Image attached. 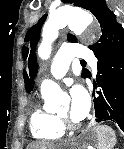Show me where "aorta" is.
Returning <instances> with one entry per match:
<instances>
[{"label":"aorta","mask_w":124,"mask_h":149,"mask_svg":"<svg viewBox=\"0 0 124 149\" xmlns=\"http://www.w3.org/2000/svg\"><path fill=\"white\" fill-rule=\"evenodd\" d=\"M92 23V15L81 9H58L54 11L49 15L43 27V40L39 48L40 57L47 59L50 56L51 45L58 37L59 29L68 26L75 33H81ZM41 94L46 106L51 108L58 107L62 91L54 82L44 81L41 86Z\"/></svg>","instance_id":"1"}]
</instances>
